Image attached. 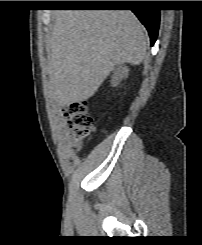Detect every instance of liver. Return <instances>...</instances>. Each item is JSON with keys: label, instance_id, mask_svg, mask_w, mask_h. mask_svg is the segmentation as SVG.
I'll use <instances>...</instances> for the list:
<instances>
[{"label": "liver", "instance_id": "1", "mask_svg": "<svg viewBox=\"0 0 202 245\" xmlns=\"http://www.w3.org/2000/svg\"><path fill=\"white\" fill-rule=\"evenodd\" d=\"M149 39L129 10H61L49 38L50 83L64 107L92 97L116 65H137Z\"/></svg>", "mask_w": 202, "mask_h": 245}]
</instances>
